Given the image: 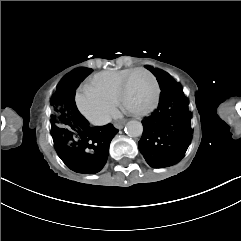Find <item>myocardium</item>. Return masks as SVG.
<instances>
[{
	"mask_svg": "<svg viewBox=\"0 0 241 241\" xmlns=\"http://www.w3.org/2000/svg\"><path fill=\"white\" fill-rule=\"evenodd\" d=\"M141 72H144L148 82L152 83V88H153L154 97H155L154 98L155 102H152V104H150V107H147V110H144L143 113H141V118H146V116L149 115V112H153V109H156L157 103H160V96H159L157 81H155V78L150 73V70H148V67L132 68V70H129L126 73V76H124V79H121V81H119V103H125V98H124L125 82L129 81V78H131L133 75Z\"/></svg>",
	"mask_w": 241,
	"mask_h": 241,
	"instance_id": "f54148a6",
	"label": "myocardium"
}]
</instances>
